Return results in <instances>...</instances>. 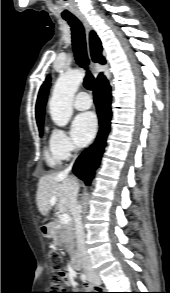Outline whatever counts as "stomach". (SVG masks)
Segmentation results:
<instances>
[{
    "label": "stomach",
    "mask_w": 170,
    "mask_h": 293,
    "mask_svg": "<svg viewBox=\"0 0 170 293\" xmlns=\"http://www.w3.org/2000/svg\"><path fill=\"white\" fill-rule=\"evenodd\" d=\"M45 232L47 237H50L52 235V230L50 228L47 229Z\"/></svg>",
    "instance_id": "stomach-1"
}]
</instances>
